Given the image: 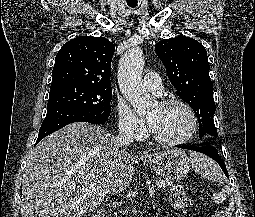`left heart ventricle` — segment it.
I'll return each mask as SVG.
<instances>
[{"instance_id": "obj_1", "label": "left heart ventricle", "mask_w": 255, "mask_h": 217, "mask_svg": "<svg viewBox=\"0 0 255 217\" xmlns=\"http://www.w3.org/2000/svg\"><path fill=\"white\" fill-rule=\"evenodd\" d=\"M155 134L164 139H178L186 135L191 126L188 112L180 105H156L147 115Z\"/></svg>"}]
</instances>
